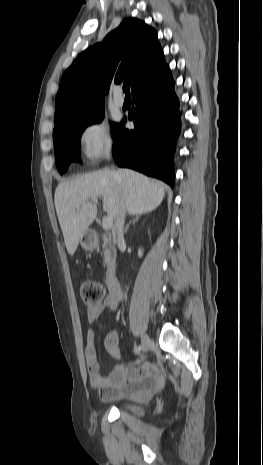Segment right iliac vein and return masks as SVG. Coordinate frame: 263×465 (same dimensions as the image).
<instances>
[{"instance_id":"63e3f726","label":"right iliac vein","mask_w":263,"mask_h":465,"mask_svg":"<svg viewBox=\"0 0 263 465\" xmlns=\"http://www.w3.org/2000/svg\"><path fill=\"white\" fill-rule=\"evenodd\" d=\"M141 347H142V352L145 353L147 352L150 347H151V339L147 334H143L141 338Z\"/></svg>"}]
</instances>
